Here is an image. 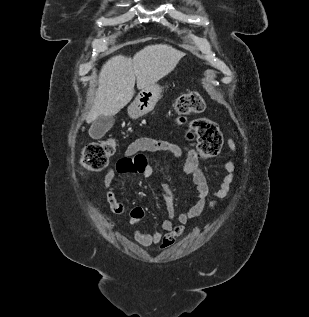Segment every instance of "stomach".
Segmentation results:
<instances>
[{"instance_id": "0dacf381", "label": "stomach", "mask_w": 309, "mask_h": 317, "mask_svg": "<svg viewBox=\"0 0 309 317\" xmlns=\"http://www.w3.org/2000/svg\"><path fill=\"white\" fill-rule=\"evenodd\" d=\"M162 88L159 85H153L142 89L135 100L128 107V115L132 119L141 117L152 111L161 97Z\"/></svg>"}]
</instances>
